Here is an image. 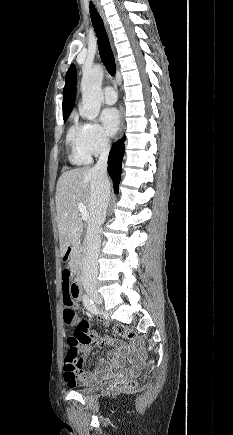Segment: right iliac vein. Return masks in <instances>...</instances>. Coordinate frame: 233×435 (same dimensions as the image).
Instances as JSON below:
<instances>
[{
	"mask_svg": "<svg viewBox=\"0 0 233 435\" xmlns=\"http://www.w3.org/2000/svg\"><path fill=\"white\" fill-rule=\"evenodd\" d=\"M88 295L98 304H102V297L93 290H88Z\"/></svg>",
	"mask_w": 233,
	"mask_h": 435,
	"instance_id": "1",
	"label": "right iliac vein"
}]
</instances>
